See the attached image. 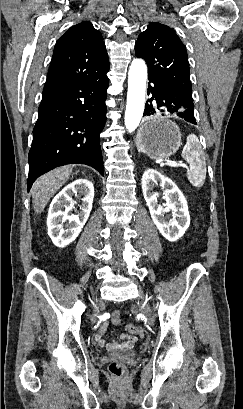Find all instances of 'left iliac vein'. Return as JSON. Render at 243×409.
Returning a JSON list of instances; mask_svg holds the SVG:
<instances>
[{
  "label": "left iliac vein",
  "mask_w": 243,
  "mask_h": 409,
  "mask_svg": "<svg viewBox=\"0 0 243 409\" xmlns=\"http://www.w3.org/2000/svg\"><path fill=\"white\" fill-rule=\"evenodd\" d=\"M143 312H144L145 315L147 316L149 324H153V323H154V319H153V316H152V311H151V309H150L148 306H146V307L143 309Z\"/></svg>",
  "instance_id": "1"
}]
</instances>
